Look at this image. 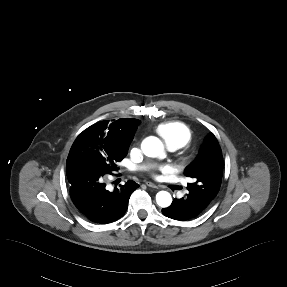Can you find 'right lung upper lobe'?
Here are the masks:
<instances>
[{"mask_svg": "<svg viewBox=\"0 0 287 287\" xmlns=\"http://www.w3.org/2000/svg\"><path fill=\"white\" fill-rule=\"evenodd\" d=\"M139 123L138 119L131 118L118 119L113 122L101 121L90 126L83 133L101 144L128 150Z\"/></svg>", "mask_w": 287, "mask_h": 287, "instance_id": "obj_1", "label": "right lung upper lobe"}]
</instances>
